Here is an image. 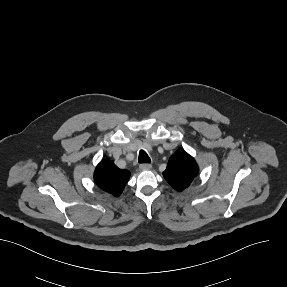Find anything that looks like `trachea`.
Masks as SVG:
<instances>
[{"label":"trachea","mask_w":287,"mask_h":287,"mask_svg":"<svg viewBox=\"0 0 287 287\" xmlns=\"http://www.w3.org/2000/svg\"><path fill=\"white\" fill-rule=\"evenodd\" d=\"M138 162L139 163H151L150 157L144 150H141L139 152Z\"/></svg>","instance_id":"1"}]
</instances>
